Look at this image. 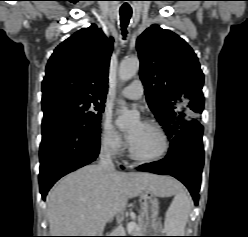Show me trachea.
Instances as JSON below:
<instances>
[{
  "mask_svg": "<svg viewBox=\"0 0 248 237\" xmlns=\"http://www.w3.org/2000/svg\"><path fill=\"white\" fill-rule=\"evenodd\" d=\"M132 16V10L131 9H120V20H121V27L123 36L125 37L127 34L126 28L129 24V20Z\"/></svg>",
  "mask_w": 248,
  "mask_h": 237,
  "instance_id": "obj_1",
  "label": "trachea"
}]
</instances>
